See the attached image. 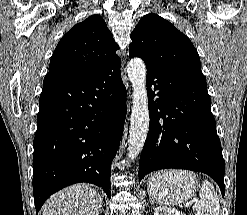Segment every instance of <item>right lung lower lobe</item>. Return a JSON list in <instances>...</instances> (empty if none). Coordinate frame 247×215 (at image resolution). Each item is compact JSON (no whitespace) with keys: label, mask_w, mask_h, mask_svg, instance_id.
<instances>
[{"label":"right lung lower lobe","mask_w":247,"mask_h":215,"mask_svg":"<svg viewBox=\"0 0 247 215\" xmlns=\"http://www.w3.org/2000/svg\"><path fill=\"white\" fill-rule=\"evenodd\" d=\"M116 62L81 79L47 73L34 138L36 214L53 193L78 182L111 198V163L126 117V88Z\"/></svg>","instance_id":"98d812e1"}]
</instances>
